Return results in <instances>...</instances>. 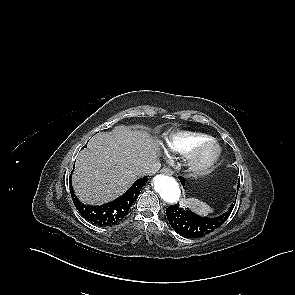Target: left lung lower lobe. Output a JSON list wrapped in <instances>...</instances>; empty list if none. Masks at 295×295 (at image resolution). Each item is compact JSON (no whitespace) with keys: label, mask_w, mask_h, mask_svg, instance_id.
<instances>
[{"label":"left lung lower lobe","mask_w":295,"mask_h":295,"mask_svg":"<svg viewBox=\"0 0 295 295\" xmlns=\"http://www.w3.org/2000/svg\"><path fill=\"white\" fill-rule=\"evenodd\" d=\"M179 179L183 184L184 179L182 177ZM239 184L240 180L237 185L238 189ZM234 205L235 202L231 204L227 212L214 218L198 216L189 209H183L179 204L168 207L166 214L170 225L178 234L186 238H198L220 227L231 214Z\"/></svg>","instance_id":"0a47b994"}]
</instances>
